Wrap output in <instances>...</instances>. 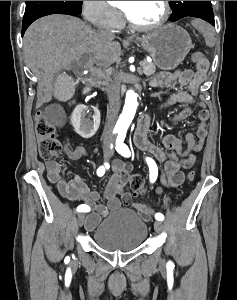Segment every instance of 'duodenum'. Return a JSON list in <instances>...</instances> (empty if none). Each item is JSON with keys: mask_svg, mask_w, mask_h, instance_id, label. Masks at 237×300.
<instances>
[{"mask_svg": "<svg viewBox=\"0 0 237 300\" xmlns=\"http://www.w3.org/2000/svg\"><path fill=\"white\" fill-rule=\"evenodd\" d=\"M89 92H90V88L87 87L84 89V94H89Z\"/></svg>", "mask_w": 237, "mask_h": 300, "instance_id": "duodenum-1", "label": "duodenum"}]
</instances>
